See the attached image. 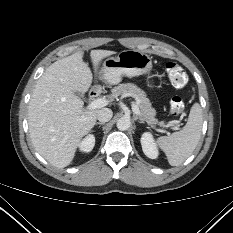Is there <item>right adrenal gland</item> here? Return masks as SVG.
<instances>
[{
	"instance_id": "obj_1",
	"label": "right adrenal gland",
	"mask_w": 233,
	"mask_h": 233,
	"mask_svg": "<svg viewBox=\"0 0 233 233\" xmlns=\"http://www.w3.org/2000/svg\"><path fill=\"white\" fill-rule=\"evenodd\" d=\"M105 123L97 122L96 125H104Z\"/></svg>"
}]
</instances>
